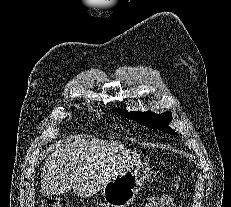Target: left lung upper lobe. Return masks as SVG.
I'll use <instances>...</instances> for the list:
<instances>
[{
	"instance_id": "left-lung-upper-lobe-1",
	"label": "left lung upper lobe",
	"mask_w": 231,
	"mask_h": 207,
	"mask_svg": "<svg viewBox=\"0 0 231 207\" xmlns=\"http://www.w3.org/2000/svg\"><path fill=\"white\" fill-rule=\"evenodd\" d=\"M115 111L120 113L126 118H129L134 121H138L141 124L152 128V129H159L161 131L170 133V134H176L174 130H172L168 123L172 120V113L166 112L162 114H155L153 112L147 111V112H128L127 110H122L119 108H114Z\"/></svg>"
}]
</instances>
